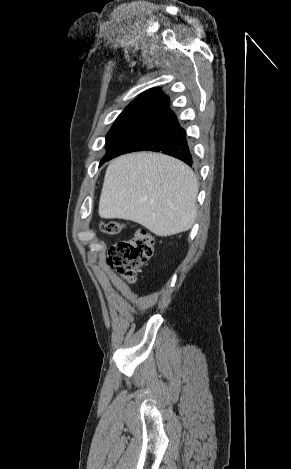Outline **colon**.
Wrapping results in <instances>:
<instances>
[{
	"label": "colon",
	"mask_w": 291,
	"mask_h": 469,
	"mask_svg": "<svg viewBox=\"0 0 291 469\" xmlns=\"http://www.w3.org/2000/svg\"><path fill=\"white\" fill-rule=\"evenodd\" d=\"M124 225L118 221L101 224V230L108 235H118ZM154 240L150 232L140 228L128 239L120 240L110 247L108 264L127 282L134 283L138 270L144 266L153 254Z\"/></svg>",
	"instance_id": "1"
}]
</instances>
